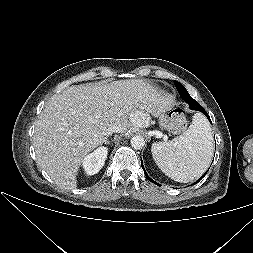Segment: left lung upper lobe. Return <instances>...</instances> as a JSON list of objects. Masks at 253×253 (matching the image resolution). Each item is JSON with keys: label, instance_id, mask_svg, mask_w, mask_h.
<instances>
[{"label": "left lung upper lobe", "instance_id": "obj_1", "mask_svg": "<svg viewBox=\"0 0 253 253\" xmlns=\"http://www.w3.org/2000/svg\"><path fill=\"white\" fill-rule=\"evenodd\" d=\"M174 84L176 86V89L178 90L181 98L187 102L189 104V106L195 102L196 100H194L190 95L189 93L187 92V90L185 89V87L179 83L178 81H174Z\"/></svg>", "mask_w": 253, "mask_h": 253}]
</instances>
